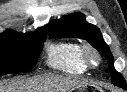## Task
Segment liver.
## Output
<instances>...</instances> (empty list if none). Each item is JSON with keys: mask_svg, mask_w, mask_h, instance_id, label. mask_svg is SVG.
<instances>
[{"mask_svg": "<svg viewBox=\"0 0 127 92\" xmlns=\"http://www.w3.org/2000/svg\"><path fill=\"white\" fill-rule=\"evenodd\" d=\"M86 84L87 81L76 77L47 74L0 87V92H71Z\"/></svg>", "mask_w": 127, "mask_h": 92, "instance_id": "1", "label": "liver"}]
</instances>
